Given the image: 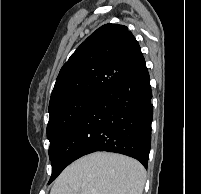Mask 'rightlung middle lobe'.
<instances>
[{"label":"right lung middle lobe","instance_id":"1","mask_svg":"<svg viewBox=\"0 0 201 194\" xmlns=\"http://www.w3.org/2000/svg\"><path fill=\"white\" fill-rule=\"evenodd\" d=\"M100 95H86L76 97L65 102H62L49 110L50 119L47 125V138L50 141L49 158L53 168L49 183L57 176L56 163L53 160V153L60 143V140L71 126V124L87 110Z\"/></svg>","mask_w":201,"mask_h":194}]
</instances>
